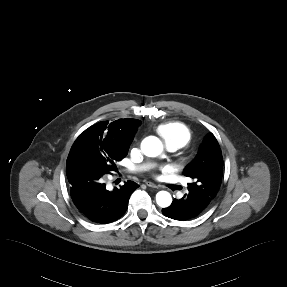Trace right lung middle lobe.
Segmentation results:
<instances>
[{"label": "right lung middle lobe", "instance_id": "right-lung-middle-lobe-1", "mask_svg": "<svg viewBox=\"0 0 287 287\" xmlns=\"http://www.w3.org/2000/svg\"><path fill=\"white\" fill-rule=\"evenodd\" d=\"M127 152L101 145L81 134L74 142L66 162V173L80 167H94L104 173L117 171L116 163Z\"/></svg>", "mask_w": 287, "mask_h": 287}]
</instances>
